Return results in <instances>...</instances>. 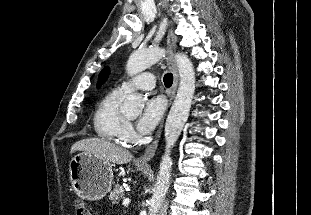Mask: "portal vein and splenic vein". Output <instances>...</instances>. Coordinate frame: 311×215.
<instances>
[{
    "mask_svg": "<svg viewBox=\"0 0 311 215\" xmlns=\"http://www.w3.org/2000/svg\"><path fill=\"white\" fill-rule=\"evenodd\" d=\"M129 203H130V199L129 198H126V199L123 200V205L124 206H127Z\"/></svg>",
    "mask_w": 311,
    "mask_h": 215,
    "instance_id": "1",
    "label": "portal vein and splenic vein"
}]
</instances>
